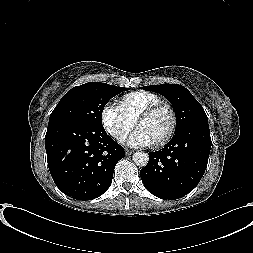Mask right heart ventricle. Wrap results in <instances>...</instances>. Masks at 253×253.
<instances>
[{
  "label": "right heart ventricle",
  "instance_id": "1",
  "mask_svg": "<svg viewBox=\"0 0 253 253\" xmlns=\"http://www.w3.org/2000/svg\"><path fill=\"white\" fill-rule=\"evenodd\" d=\"M161 101L157 94L139 90L122 96L119 104L127 115L135 121L141 111Z\"/></svg>",
  "mask_w": 253,
  "mask_h": 253
}]
</instances>
